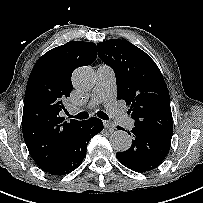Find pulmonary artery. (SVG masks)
Masks as SVG:
<instances>
[{"label": "pulmonary artery", "instance_id": "pulmonary-artery-1", "mask_svg": "<svg viewBox=\"0 0 203 203\" xmlns=\"http://www.w3.org/2000/svg\"><path fill=\"white\" fill-rule=\"evenodd\" d=\"M116 77L114 70L105 64H101L97 68V82L92 92L89 108H94L98 104L103 103L108 113L116 120V122L127 128L132 129L135 121L123 113L119 108L115 99ZM77 112L78 109H73Z\"/></svg>", "mask_w": 203, "mask_h": 203}]
</instances>
